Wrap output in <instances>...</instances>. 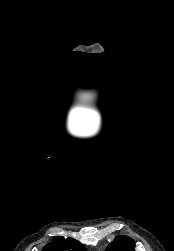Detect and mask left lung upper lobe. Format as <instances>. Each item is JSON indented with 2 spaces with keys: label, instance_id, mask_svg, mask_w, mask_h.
<instances>
[{
  "label": "left lung upper lobe",
  "instance_id": "obj_1",
  "mask_svg": "<svg viewBox=\"0 0 174 251\" xmlns=\"http://www.w3.org/2000/svg\"><path fill=\"white\" fill-rule=\"evenodd\" d=\"M135 242L132 238L120 235L108 245L105 251H135Z\"/></svg>",
  "mask_w": 174,
  "mask_h": 251
}]
</instances>
